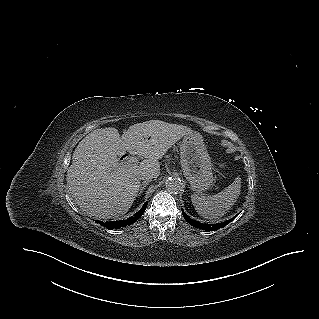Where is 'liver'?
Instances as JSON below:
<instances>
[{"label":"liver","mask_w":319,"mask_h":319,"mask_svg":"<svg viewBox=\"0 0 319 319\" xmlns=\"http://www.w3.org/2000/svg\"><path fill=\"white\" fill-rule=\"evenodd\" d=\"M193 131L178 124L150 120L134 124L120 136L114 127L96 129L76 147L67 172V186L76 204L100 219L127 213L140 189L138 174H160L159 159ZM128 151L144 157L139 166L125 167L118 156Z\"/></svg>","instance_id":"6515ba94"}]
</instances>
